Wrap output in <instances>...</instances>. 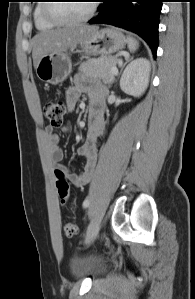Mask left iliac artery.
<instances>
[{
  "mask_svg": "<svg viewBox=\"0 0 195 299\" xmlns=\"http://www.w3.org/2000/svg\"><path fill=\"white\" fill-rule=\"evenodd\" d=\"M89 204H90V201H89L88 199H86V200L83 202V207H84V208H87V207L89 206ZM88 229H89V227H88ZM87 232H88V230H87Z\"/></svg>",
  "mask_w": 195,
  "mask_h": 299,
  "instance_id": "44dca946",
  "label": "left iliac artery"
}]
</instances>
